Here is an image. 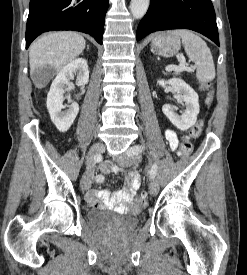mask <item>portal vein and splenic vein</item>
<instances>
[{"label": "portal vein and splenic vein", "mask_w": 247, "mask_h": 275, "mask_svg": "<svg viewBox=\"0 0 247 275\" xmlns=\"http://www.w3.org/2000/svg\"><path fill=\"white\" fill-rule=\"evenodd\" d=\"M194 69H195V67H185V59L183 57H181L179 66H169V67L166 68V71H168V72H170V71L181 72L183 70L193 71Z\"/></svg>", "instance_id": "1"}]
</instances>
